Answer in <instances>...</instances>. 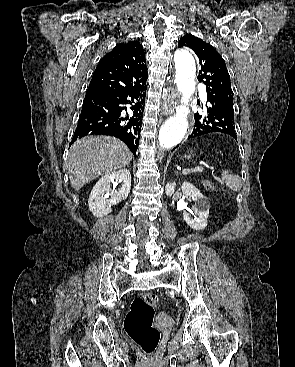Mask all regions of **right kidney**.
Instances as JSON below:
<instances>
[{"label":"right kidney","mask_w":295,"mask_h":367,"mask_svg":"<svg viewBox=\"0 0 295 367\" xmlns=\"http://www.w3.org/2000/svg\"><path fill=\"white\" fill-rule=\"evenodd\" d=\"M111 183L115 186L121 183L119 190L112 189ZM131 189V174L127 169H121L103 176L93 187L88 206L92 214L101 218L112 211V206L125 200Z\"/></svg>","instance_id":"right-kidney-1"}]
</instances>
